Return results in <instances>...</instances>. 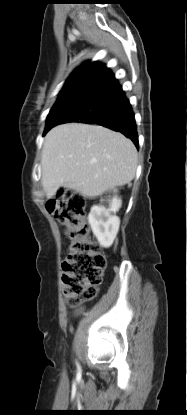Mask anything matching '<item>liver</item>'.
<instances>
[{
	"label": "liver",
	"mask_w": 187,
	"mask_h": 415,
	"mask_svg": "<svg viewBox=\"0 0 187 415\" xmlns=\"http://www.w3.org/2000/svg\"><path fill=\"white\" fill-rule=\"evenodd\" d=\"M41 167L48 199L61 187L96 197L133 180L137 150L121 133L99 125L66 123L47 133Z\"/></svg>",
	"instance_id": "liver-1"
}]
</instances>
